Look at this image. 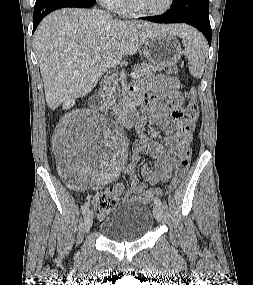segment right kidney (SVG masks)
Segmentation results:
<instances>
[{
    "label": "right kidney",
    "mask_w": 253,
    "mask_h": 285,
    "mask_svg": "<svg viewBox=\"0 0 253 285\" xmlns=\"http://www.w3.org/2000/svg\"><path fill=\"white\" fill-rule=\"evenodd\" d=\"M74 100H71V101H67L64 103V108H69L70 106H72L74 104Z\"/></svg>",
    "instance_id": "obj_1"
}]
</instances>
